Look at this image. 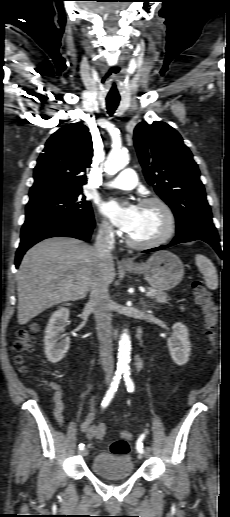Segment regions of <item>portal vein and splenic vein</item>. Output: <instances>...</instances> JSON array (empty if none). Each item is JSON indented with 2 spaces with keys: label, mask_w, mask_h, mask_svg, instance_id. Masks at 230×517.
<instances>
[{
  "label": "portal vein and splenic vein",
  "mask_w": 230,
  "mask_h": 517,
  "mask_svg": "<svg viewBox=\"0 0 230 517\" xmlns=\"http://www.w3.org/2000/svg\"><path fill=\"white\" fill-rule=\"evenodd\" d=\"M154 294H155V293H154V291H149V292H147L146 296H147V297H151V296H153Z\"/></svg>",
  "instance_id": "18ae733b"
}]
</instances>
